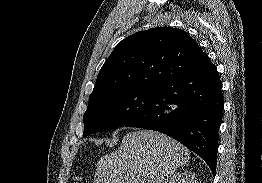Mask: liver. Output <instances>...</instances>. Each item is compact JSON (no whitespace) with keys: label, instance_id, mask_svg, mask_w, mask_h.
<instances>
[{"label":"liver","instance_id":"1","mask_svg":"<svg viewBox=\"0 0 262 183\" xmlns=\"http://www.w3.org/2000/svg\"><path fill=\"white\" fill-rule=\"evenodd\" d=\"M189 159L185 146L162 133L129 132L117 151L97 162L94 183H167Z\"/></svg>","mask_w":262,"mask_h":183}]
</instances>
